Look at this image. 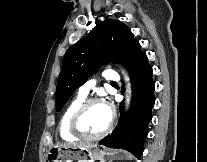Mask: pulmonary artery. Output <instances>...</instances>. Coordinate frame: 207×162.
Listing matches in <instances>:
<instances>
[{"instance_id":"e3ab8cb5","label":"pulmonary artery","mask_w":207,"mask_h":162,"mask_svg":"<svg viewBox=\"0 0 207 162\" xmlns=\"http://www.w3.org/2000/svg\"><path fill=\"white\" fill-rule=\"evenodd\" d=\"M104 78L110 83L114 84L118 81V75L116 73H111L109 71H105ZM95 85V81H87L79 88V94L87 97L91 91V88Z\"/></svg>"}]
</instances>
